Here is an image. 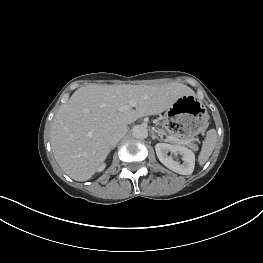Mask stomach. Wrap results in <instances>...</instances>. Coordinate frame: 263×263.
<instances>
[{
  "mask_svg": "<svg viewBox=\"0 0 263 263\" xmlns=\"http://www.w3.org/2000/svg\"><path fill=\"white\" fill-rule=\"evenodd\" d=\"M162 125L177 137L195 138L207 128L208 114L193 95H183L166 110Z\"/></svg>",
  "mask_w": 263,
  "mask_h": 263,
  "instance_id": "0dacf381",
  "label": "stomach"
}]
</instances>
